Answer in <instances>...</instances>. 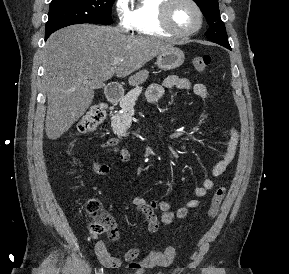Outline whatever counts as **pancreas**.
Masks as SVG:
<instances>
[{
    "label": "pancreas",
    "mask_w": 289,
    "mask_h": 274,
    "mask_svg": "<svg viewBox=\"0 0 289 274\" xmlns=\"http://www.w3.org/2000/svg\"><path fill=\"white\" fill-rule=\"evenodd\" d=\"M141 89L137 88L128 92L121 100V112H117L111 117V126L113 132L118 137L127 136V130L130 128L133 115L134 106L138 99Z\"/></svg>",
    "instance_id": "obj_1"
}]
</instances>
